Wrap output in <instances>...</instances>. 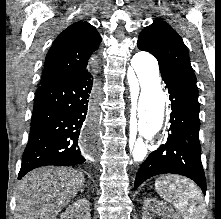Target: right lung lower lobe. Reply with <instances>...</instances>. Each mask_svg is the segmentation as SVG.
I'll list each match as a JSON object with an SVG mask.
<instances>
[{"mask_svg": "<svg viewBox=\"0 0 221 219\" xmlns=\"http://www.w3.org/2000/svg\"><path fill=\"white\" fill-rule=\"evenodd\" d=\"M94 87V76L87 69L37 89L18 180L37 167L76 165L86 161L81 142L85 138L93 145L95 140L94 131L84 134L86 128L95 125Z\"/></svg>", "mask_w": 221, "mask_h": 219, "instance_id": "98d812e1", "label": "right lung lower lobe"}]
</instances>
